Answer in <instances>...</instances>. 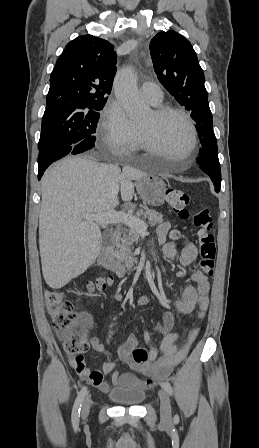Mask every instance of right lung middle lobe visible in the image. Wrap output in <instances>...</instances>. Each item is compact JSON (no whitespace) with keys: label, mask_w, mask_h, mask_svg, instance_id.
<instances>
[{"label":"right lung middle lobe","mask_w":259,"mask_h":448,"mask_svg":"<svg viewBox=\"0 0 259 448\" xmlns=\"http://www.w3.org/2000/svg\"><path fill=\"white\" fill-rule=\"evenodd\" d=\"M104 105L67 114L48 113L43 115L38 149L73 147L72 154L92 149L95 144L99 111Z\"/></svg>","instance_id":"right-lung-middle-lobe-1"}]
</instances>
